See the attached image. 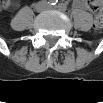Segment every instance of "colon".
I'll return each mask as SVG.
<instances>
[{
	"label": "colon",
	"instance_id": "colon-1",
	"mask_svg": "<svg viewBox=\"0 0 103 103\" xmlns=\"http://www.w3.org/2000/svg\"><path fill=\"white\" fill-rule=\"evenodd\" d=\"M89 9L96 13L95 20H94V27L96 29H100L103 25V16H102V5L100 1L93 0L88 2Z\"/></svg>",
	"mask_w": 103,
	"mask_h": 103
}]
</instances>
